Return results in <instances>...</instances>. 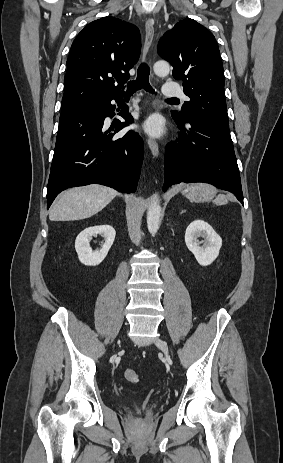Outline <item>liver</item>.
<instances>
[{
  "label": "liver",
  "mask_w": 283,
  "mask_h": 463,
  "mask_svg": "<svg viewBox=\"0 0 283 463\" xmlns=\"http://www.w3.org/2000/svg\"><path fill=\"white\" fill-rule=\"evenodd\" d=\"M117 192L102 185H88L61 193L49 210L51 221H75L89 218L105 208Z\"/></svg>",
  "instance_id": "obj_1"
}]
</instances>
